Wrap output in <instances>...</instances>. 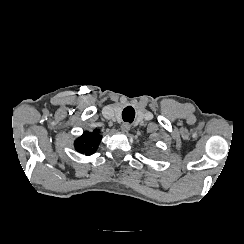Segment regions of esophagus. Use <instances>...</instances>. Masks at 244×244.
Segmentation results:
<instances>
[{
	"mask_svg": "<svg viewBox=\"0 0 244 244\" xmlns=\"http://www.w3.org/2000/svg\"><path fill=\"white\" fill-rule=\"evenodd\" d=\"M130 128H131V126H130L129 123H123V124L121 125V130H122L123 132H128V131L130 130Z\"/></svg>",
	"mask_w": 244,
	"mask_h": 244,
	"instance_id": "34e87169",
	"label": "esophagus"
}]
</instances>
